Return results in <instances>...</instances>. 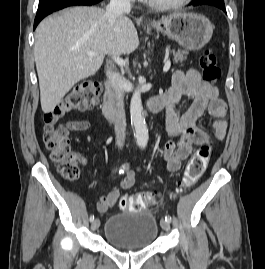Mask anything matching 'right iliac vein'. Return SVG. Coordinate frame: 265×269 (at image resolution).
<instances>
[{
    "mask_svg": "<svg viewBox=\"0 0 265 269\" xmlns=\"http://www.w3.org/2000/svg\"><path fill=\"white\" fill-rule=\"evenodd\" d=\"M99 226H100V221H99V219H95V220L92 221V224H91V228H92V230H96V229H98Z\"/></svg>",
    "mask_w": 265,
    "mask_h": 269,
    "instance_id": "obj_1",
    "label": "right iliac vein"
}]
</instances>
